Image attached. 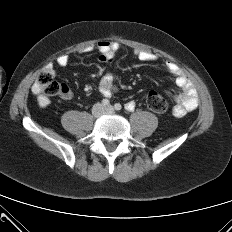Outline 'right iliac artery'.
<instances>
[{
    "label": "right iliac artery",
    "instance_id": "82829eb1",
    "mask_svg": "<svg viewBox=\"0 0 232 232\" xmlns=\"http://www.w3.org/2000/svg\"><path fill=\"white\" fill-rule=\"evenodd\" d=\"M109 104H110V101L108 99H103L102 100V105L103 106H109Z\"/></svg>",
    "mask_w": 232,
    "mask_h": 232
}]
</instances>
